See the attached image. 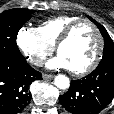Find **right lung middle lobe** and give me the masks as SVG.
Listing matches in <instances>:
<instances>
[{
    "label": "right lung middle lobe",
    "mask_w": 114,
    "mask_h": 114,
    "mask_svg": "<svg viewBox=\"0 0 114 114\" xmlns=\"http://www.w3.org/2000/svg\"><path fill=\"white\" fill-rule=\"evenodd\" d=\"M33 12V10L18 8L6 10L0 14V58H24L17 47L16 37Z\"/></svg>",
    "instance_id": "right-lung-middle-lobe-1"
}]
</instances>
